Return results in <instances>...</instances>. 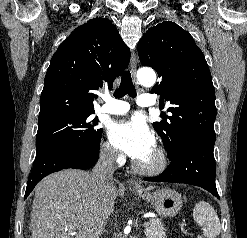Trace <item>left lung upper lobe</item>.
Masks as SVG:
<instances>
[{
	"mask_svg": "<svg viewBox=\"0 0 247 238\" xmlns=\"http://www.w3.org/2000/svg\"><path fill=\"white\" fill-rule=\"evenodd\" d=\"M144 66L158 72L160 81L151 93L160 95L170 116L153 123L167 154L182 141L214 148L215 91L205 57L193 37L171 21L150 28L138 42Z\"/></svg>",
	"mask_w": 247,
	"mask_h": 238,
	"instance_id": "obj_1",
	"label": "left lung upper lobe"
}]
</instances>
